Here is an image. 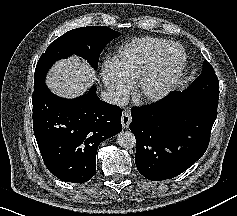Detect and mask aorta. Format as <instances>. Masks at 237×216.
Masks as SVG:
<instances>
[{
    "label": "aorta",
    "mask_w": 237,
    "mask_h": 216,
    "mask_svg": "<svg viewBox=\"0 0 237 216\" xmlns=\"http://www.w3.org/2000/svg\"><path fill=\"white\" fill-rule=\"evenodd\" d=\"M117 143L124 149H132L136 146L135 135L131 131H121L117 134Z\"/></svg>",
    "instance_id": "762f6f07"
}]
</instances>
